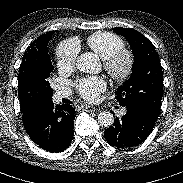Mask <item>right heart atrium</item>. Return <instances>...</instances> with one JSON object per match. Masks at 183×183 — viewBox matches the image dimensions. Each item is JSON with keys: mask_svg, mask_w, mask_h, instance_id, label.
<instances>
[{"mask_svg": "<svg viewBox=\"0 0 183 183\" xmlns=\"http://www.w3.org/2000/svg\"><path fill=\"white\" fill-rule=\"evenodd\" d=\"M77 55L78 46L74 40L61 42L56 51L58 68L63 71L73 68Z\"/></svg>", "mask_w": 183, "mask_h": 183, "instance_id": "right-heart-atrium-1", "label": "right heart atrium"}]
</instances>
